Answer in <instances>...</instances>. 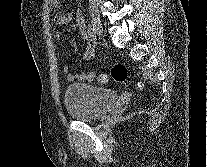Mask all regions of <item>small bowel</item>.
I'll use <instances>...</instances> for the list:
<instances>
[{"label": "small bowel", "mask_w": 207, "mask_h": 167, "mask_svg": "<svg viewBox=\"0 0 207 167\" xmlns=\"http://www.w3.org/2000/svg\"><path fill=\"white\" fill-rule=\"evenodd\" d=\"M53 5L55 8L59 9L60 8V2L59 0H53ZM73 19V13L72 12H65V11H59L57 15L55 16L54 20L55 23L58 25H66L69 24ZM77 25L79 29V33L82 38L88 40V47L86 52L83 55V58L85 60H90L94 56L95 53V44L93 43L92 39L88 35V31L85 27L84 23V17L82 14L81 9L78 10L77 13ZM56 39L61 40L62 34L60 32H57L55 34ZM63 72L65 74V77L67 81L72 82V81H84L87 77L84 72H77V73H72L70 72L69 65L65 63L63 65Z\"/></svg>", "instance_id": "c3829d8e"}]
</instances>
